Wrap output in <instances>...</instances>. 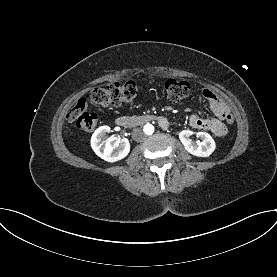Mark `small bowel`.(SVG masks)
<instances>
[{"mask_svg": "<svg viewBox=\"0 0 277 277\" xmlns=\"http://www.w3.org/2000/svg\"><path fill=\"white\" fill-rule=\"evenodd\" d=\"M202 94L215 117L201 118L194 115L190 118L191 126L197 129L210 131L219 137L224 136L227 133V127L223 121L226 119V113L230 112L228 105L210 89H203Z\"/></svg>", "mask_w": 277, "mask_h": 277, "instance_id": "1", "label": "small bowel"}]
</instances>
